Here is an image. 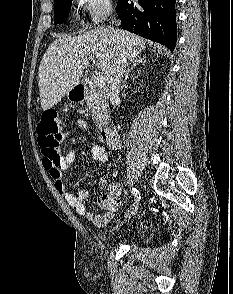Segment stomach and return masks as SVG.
I'll return each mask as SVG.
<instances>
[{
	"label": "stomach",
	"instance_id": "stomach-1",
	"mask_svg": "<svg viewBox=\"0 0 233 294\" xmlns=\"http://www.w3.org/2000/svg\"><path fill=\"white\" fill-rule=\"evenodd\" d=\"M67 97H68V99L71 100V101H75V100H77V98L79 97L78 91L72 89L71 91H69V92L67 93ZM80 99H81V98H80Z\"/></svg>",
	"mask_w": 233,
	"mask_h": 294
}]
</instances>
